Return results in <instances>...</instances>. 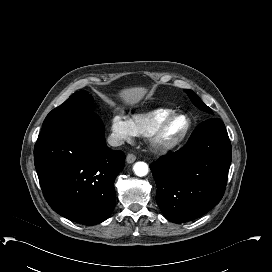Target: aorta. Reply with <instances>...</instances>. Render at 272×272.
Instances as JSON below:
<instances>
[{
	"mask_svg": "<svg viewBox=\"0 0 272 272\" xmlns=\"http://www.w3.org/2000/svg\"><path fill=\"white\" fill-rule=\"evenodd\" d=\"M133 170L137 176L143 177L148 174L149 168L145 162H137L134 164Z\"/></svg>",
	"mask_w": 272,
	"mask_h": 272,
	"instance_id": "aorta-1",
	"label": "aorta"
}]
</instances>
